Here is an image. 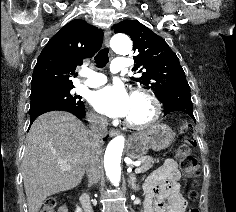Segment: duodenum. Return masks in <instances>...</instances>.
I'll list each match as a JSON object with an SVG mask.
<instances>
[{"instance_id": "1", "label": "duodenum", "mask_w": 236, "mask_h": 212, "mask_svg": "<svg viewBox=\"0 0 236 212\" xmlns=\"http://www.w3.org/2000/svg\"><path fill=\"white\" fill-rule=\"evenodd\" d=\"M81 204L85 210V212H93V206L90 201L89 195L83 191L80 197Z\"/></svg>"}]
</instances>
